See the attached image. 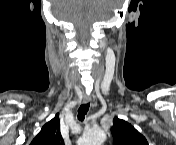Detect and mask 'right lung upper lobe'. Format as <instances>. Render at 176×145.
I'll list each match as a JSON object with an SVG mask.
<instances>
[{
    "label": "right lung upper lobe",
    "mask_w": 176,
    "mask_h": 145,
    "mask_svg": "<svg viewBox=\"0 0 176 145\" xmlns=\"http://www.w3.org/2000/svg\"><path fill=\"white\" fill-rule=\"evenodd\" d=\"M30 145H64V140L60 133L59 114L47 122L33 139Z\"/></svg>",
    "instance_id": "obj_1"
}]
</instances>
